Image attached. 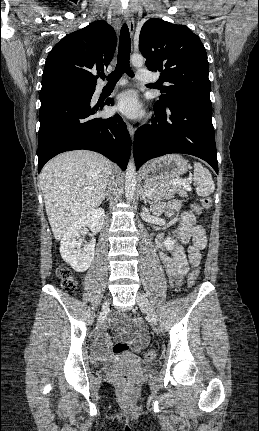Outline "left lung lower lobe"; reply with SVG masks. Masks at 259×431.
Wrapping results in <instances>:
<instances>
[{"label": "left lung lower lobe", "mask_w": 259, "mask_h": 431, "mask_svg": "<svg viewBox=\"0 0 259 431\" xmlns=\"http://www.w3.org/2000/svg\"><path fill=\"white\" fill-rule=\"evenodd\" d=\"M154 113L152 124L141 126L134 136L133 155L137 169L149 159L184 153L203 159L218 173L210 101L176 97L156 102Z\"/></svg>", "instance_id": "1"}]
</instances>
